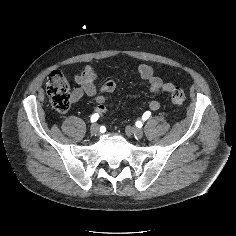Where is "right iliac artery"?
Here are the masks:
<instances>
[{
	"label": "right iliac artery",
	"instance_id": "82829eb1",
	"mask_svg": "<svg viewBox=\"0 0 236 236\" xmlns=\"http://www.w3.org/2000/svg\"><path fill=\"white\" fill-rule=\"evenodd\" d=\"M98 118H99V115H98L97 113L93 114V115L91 116V122H92V123H93V122H96V121L98 120Z\"/></svg>",
	"mask_w": 236,
	"mask_h": 236
}]
</instances>
